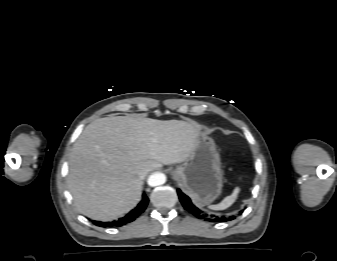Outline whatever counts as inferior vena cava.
Masks as SVG:
<instances>
[{
  "label": "inferior vena cava",
  "instance_id": "602c4592",
  "mask_svg": "<svg viewBox=\"0 0 337 261\" xmlns=\"http://www.w3.org/2000/svg\"><path fill=\"white\" fill-rule=\"evenodd\" d=\"M148 173V170H144L141 174V177L144 178L146 176V174Z\"/></svg>",
  "mask_w": 337,
  "mask_h": 261
}]
</instances>
